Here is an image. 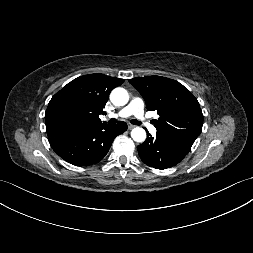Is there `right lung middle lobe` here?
Listing matches in <instances>:
<instances>
[{"mask_svg": "<svg viewBox=\"0 0 253 253\" xmlns=\"http://www.w3.org/2000/svg\"><path fill=\"white\" fill-rule=\"evenodd\" d=\"M48 139H57L78 130V120L70 111H58L45 117Z\"/></svg>", "mask_w": 253, "mask_h": 253, "instance_id": "right-lung-middle-lobe-1", "label": "right lung middle lobe"}]
</instances>
